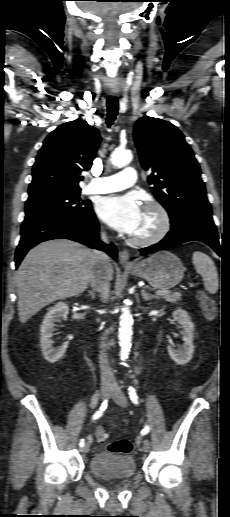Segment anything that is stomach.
<instances>
[{"label":"stomach","instance_id":"0dacf381","mask_svg":"<svg viewBox=\"0 0 230 517\" xmlns=\"http://www.w3.org/2000/svg\"><path fill=\"white\" fill-rule=\"evenodd\" d=\"M127 269L131 274L146 279L152 287L161 290L173 288L184 276L181 260L168 251L157 252Z\"/></svg>","mask_w":230,"mask_h":517}]
</instances>
